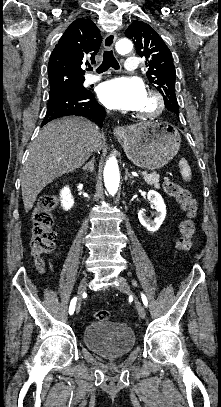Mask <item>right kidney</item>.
Segmentation results:
<instances>
[{
	"mask_svg": "<svg viewBox=\"0 0 221 407\" xmlns=\"http://www.w3.org/2000/svg\"><path fill=\"white\" fill-rule=\"evenodd\" d=\"M61 206L64 210H70L74 204V198L68 186L64 187L60 193Z\"/></svg>",
	"mask_w": 221,
	"mask_h": 407,
	"instance_id": "obj_1",
	"label": "right kidney"
}]
</instances>
